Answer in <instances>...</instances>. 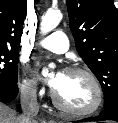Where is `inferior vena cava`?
Returning a JSON list of instances; mask_svg holds the SVG:
<instances>
[{"label":"inferior vena cava","mask_w":118,"mask_h":123,"mask_svg":"<svg viewBox=\"0 0 118 123\" xmlns=\"http://www.w3.org/2000/svg\"><path fill=\"white\" fill-rule=\"evenodd\" d=\"M21 108L22 115L19 116V123H35V117L39 112L36 87L33 84L21 87Z\"/></svg>","instance_id":"obj_1"}]
</instances>
